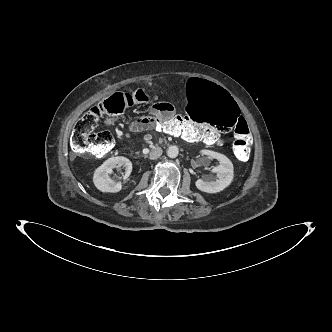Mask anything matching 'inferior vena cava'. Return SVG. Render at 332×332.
<instances>
[{"mask_svg":"<svg viewBox=\"0 0 332 332\" xmlns=\"http://www.w3.org/2000/svg\"><path fill=\"white\" fill-rule=\"evenodd\" d=\"M162 152H163L162 149L160 147H158L156 150H154L153 152L150 153L149 158L151 160H155L162 155Z\"/></svg>","mask_w":332,"mask_h":332,"instance_id":"obj_1","label":"inferior vena cava"}]
</instances>
